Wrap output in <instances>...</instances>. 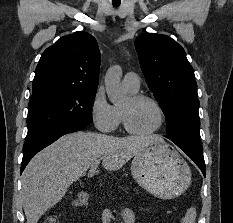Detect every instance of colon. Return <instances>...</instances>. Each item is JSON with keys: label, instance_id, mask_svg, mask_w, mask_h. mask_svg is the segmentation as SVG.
Masks as SVG:
<instances>
[{"label": "colon", "instance_id": "5ec220e1", "mask_svg": "<svg viewBox=\"0 0 233 223\" xmlns=\"http://www.w3.org/2000/svg\"><path fill=\"white\" fill-rule=\"evenodd\" d=\"M44 223H59V220L55 217H49L44 221Z\"/></svg>", "mask_w": 233, "mask_h": 223}]
</instances>
